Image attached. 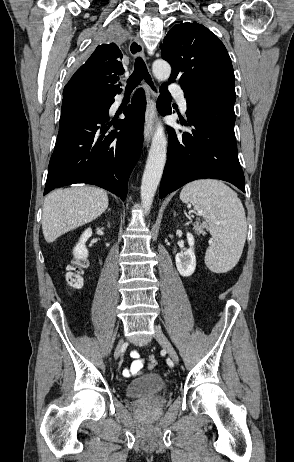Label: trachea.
<instances>
[{"label": "trachea", "instance_id": "obj_1", "mask_svg": "<svg viewBox=\"0 0 294 462\" xmlns=\"http://www.w3.org/2000/svg\"><path fill=\"white\" fill-rule=\"evenodd\" d=\"M143 78L152 87V89H155L151 76L149 75L147 71V67L143 59L140 57H137L135 59L134 71L132 75L129 77V79L127 80L126 91L134 90V88L140 84Z\"/></svg>", "mask_w": 294, "mask_h": 462}]
</instances>
